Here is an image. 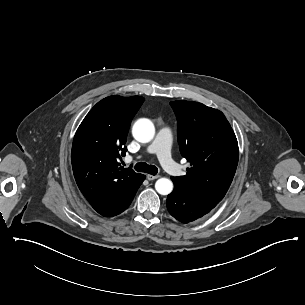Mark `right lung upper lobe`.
<instances>
[{
  "mask_svg": "<svg viewBox=\"0 0 305 305\" xmlns=\"http://www.w3.org/2000/svg\"><path fill=\"white\" fill-rule=\"evenodd\" d=\"M140 96H109L98 102L84 118L74 136L71 161L76 183L98 210L140 183L142 174L123 168L126 137L135 113L142 105Z\"/></svg>",
  "mask_w": 305,
  "mask_h": 305,
  "instance_id": "1",
  "label": "right lung upper lobe"
}]
</instances>
